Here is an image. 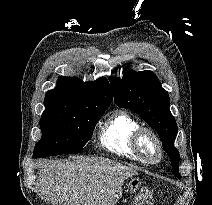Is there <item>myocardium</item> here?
I'll return each instance as SVG.
<instances>
[{
	"label": "myocardium",
	"mask_w": 212,
	"mask_h": 205,
	"mask_svg": "<svg viewBox=\"0 0 212 205\" xmlns=\"http://www.w3.org/2000/svg\"><path fill=\"white\" fill-rule=\"evenodd\" d=\"M132 146L139 158L150 162H159L163 155L161 143L149 128L138 129L132 138Z\"/></svg>",
	"instance_id": "1"
}]
</instances>
